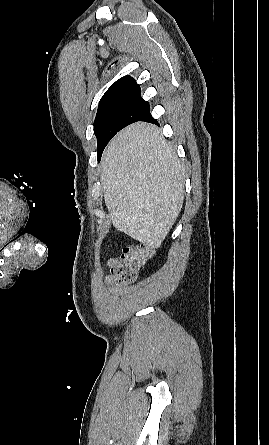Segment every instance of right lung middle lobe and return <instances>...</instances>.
<instances>
[{"label": "right lung middle lobe", "mask_w": 269, "mask_h": 445, "mask_svg": "<svg viewBox=\"0 0 269 445\" xmlns=\"http://www.w3.org/2000/svg\"><path fill=\"white\" fill-rule=\"evenodd\" d=\"M149 109V103L141 97L140 88L103 95L94 122L98 159L101 158L104 148L118 131L139 121Z\"/></svg>", "instance_id": "right-lung-middle-lobe-1"}]
</instances>
